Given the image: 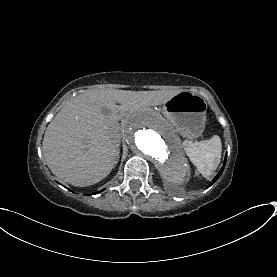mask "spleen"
<instances>
[{
	"label": "spleen",
	"mask_w": 277,
	"mask_h": 277,
	"mask_svg": "<svg viewBox=\"0 0 277 277\" xmlns=\"http://www.w3.org/2000/svg\"><path fill=\"white\" fill-rule=\"evenodd\" d=\"M186 154L204 177L211 175L219 165L221 141L218 135L201 139L197 144L191 141L183 143Z\"/></svg>",
	"instance_id": "3e777b00"
}]
</instances>
